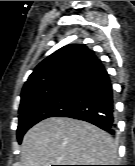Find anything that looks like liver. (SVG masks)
I'll return each instance as SVG.
<instances>
[{"mask_svg": "<svg viewBox=\"0 0 135 166\" xmlns=\"http://www.w3.org/2000/svg\"><path fill=\"white\" fill-rule=\"evenodd\" d=\"M116 158L117 146L107 132L72 118L45 119L22 141V166L113 165Z\"/></svg>", "mask_w": 135, "mask_h": 166, "instance_id": "6515ba94", "label": "liver"}]
</instances>
